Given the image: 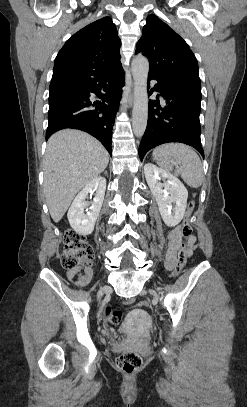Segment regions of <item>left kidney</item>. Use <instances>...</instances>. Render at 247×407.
<instances>
[{"label": "left kidney", "mask_w": 247, "mask_h": 407, "mask_svg": "<svg viewBox=\"0 0 247 407\" xmlns=\"http://www.w3.org/2000/svg\"><path fill=\"white\" fill-rule=\"evenodd\" d=\"M144 173L164 223L169 227L176 226L183 219L187 206L188 191L184 184L152 163L145 164Z\"/></svg>", "instance_id": "left-kidney-1"}]
</instances>
